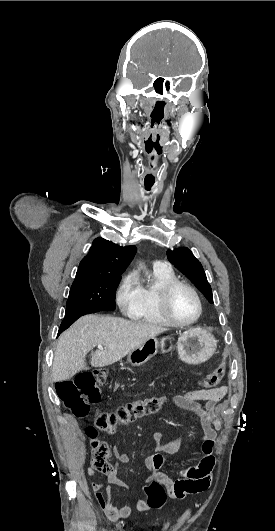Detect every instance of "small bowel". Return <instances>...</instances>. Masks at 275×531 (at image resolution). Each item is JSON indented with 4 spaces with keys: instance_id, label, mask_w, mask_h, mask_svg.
<instances>
[{
    "instance_id": "obj_1",
    "label": "small bowel",
    "mask_w": 275,
    "mask_h": 531,
    "mask_svg": "<svg viewBox=\"0 0 275 531\" xmlns=\"http://www.w3.org/2000/svg\"><path fill=\"white\" fill-rule=\"evenodd\" d=\"M120 388V385H117ZM228 394L227 386H220L212 389L190 390L173 397L172 403L175 407L196 413L200 420L203 436L197 447L196 453L200 455L199 463L184 471L183 476L178 479H171L160 471L165 454L176 452L180 440L175 439L170 443L162 440V434L158 431L152 434V442L155 452L144 459V465L150 472L152 479L160 482L172 499L182 500L191 494H197L206 490L212 480V473L216 462L214 447L217 431L221 428L218 402L223 400ZM98 443L93 441L92 445ZM114 456L118 463L125 464L130 456L120 452L116 447L113 449ZM89 476H95L96 472L92 467L87 468ZM106 485L103 483H91L94 498L110 520L127 519L132 515L129 505H116L111 496V487L127 488V484L121 480L115 471L106 477ZM135 508L138 513H145L150 508L147 501L137 499Z\"/></svg>"
}]
</instances>
